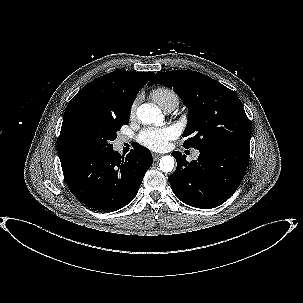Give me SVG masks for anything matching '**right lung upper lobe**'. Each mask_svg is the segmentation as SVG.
I'll list each match as a JSON object with an SVG mask.
<instances>
[{"label":"right lung upper lobe","instance_id":"1","mask_svg":"<svg viewBox=\"0 0 303 303\" xmlns=\"http://www.w3.org/2000/svg\"><path fill=\"white\" fill-rule=\"evenodd\" d=\"M153 75L152 72L118 70L93 80L69 102L62 125L70 114L82 108L91 109L106 118L129 121L136 95ZM58 154L60 160L73 156L61 147H58Z\"/></svg>","mask_w":303,"mask_h":303}]
</instances>
